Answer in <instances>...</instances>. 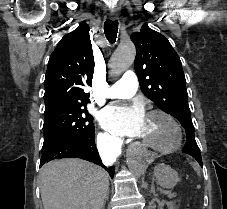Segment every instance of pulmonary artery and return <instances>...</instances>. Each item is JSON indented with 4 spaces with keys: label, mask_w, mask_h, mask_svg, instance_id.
Listing matches in <instances>:
<instances>
[{
    "label": "pulmonary artery",
    "mask_w": 227,
    "mask_h": 209,
    "mask_svg": "<svg viewBox=\"0 0 227 209\" xmlns=\"http://www.w3.org/2000/svg\"><path fill=\"white\" fill-rule=\"evenodd\" d=\"M136 73H123V78L120 79L112 87L108 88L106 97L110 99L127 98L135 94L137 89V81L135 80Z\"/></svg>",
    "instance_id": "e3ab8cb5"
}]
</instances>
